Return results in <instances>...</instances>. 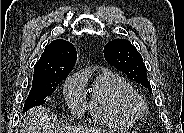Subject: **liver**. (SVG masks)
<instances>
[{
    "label": "liver",
    "mask_w": 184,
    "mask_h": 133,
    "mask_svg": "<svg viewBox=\"0 0 184 133\" xmlns=\"http://www.w3.org/2000/svg\"><path fill=\"white\" fill-rule=\"evenodd\" d=\"M24 133H56L51 123L49 110L39 106L29 110L24 116ZM66 133H105L104 130L94 128L72 127L64 129Z\"/></svg>",
    "instance_id": "liver-1"
}]
</instances>
